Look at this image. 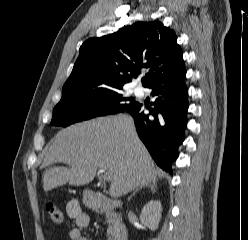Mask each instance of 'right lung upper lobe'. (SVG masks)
Here are the masks:
<instances>
[{"label": "right lung upper lobe", "mask_w": 248, "mask_h": 240, "mask_svg": "<svg viewBox=\"0 0 248 240\" xmlns=\"http://www.w3.org/2000/svg\"><path fill=\"white\" fill-rule=\"evenodd\" d=\"M176 40L174 30L156 20L90 38L80 47L63 89H122L142 68H149L142 79L144 87L169 78L185 68Z\"/></svg>", "instance_id": "cb5924a9"}]
</instances>
